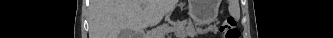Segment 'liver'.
Returning <instances> with one entry per match:
<instances>
[{"label":"liver","instance_id":"1","mask_svg":"<svg viewBox=\"0 0 333 38\" xmlns=\"http://www.w3.org/2000/svg\"><path fill=\"white\" fill-rule=\"evenodd\" d=\"M178 0H92L90 4L89 38H119L129 29L141 32L158 23L174 9Z\"/></svg>","mask_w":333,"mask_h":38}]
</instances>
